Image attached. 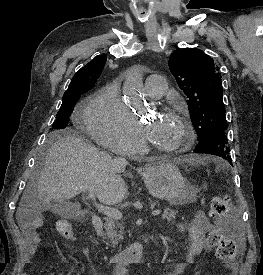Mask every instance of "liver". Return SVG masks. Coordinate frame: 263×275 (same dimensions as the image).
<instances>
[{
  "label": "liver",
  "mask_w": 263,
  "mask_h": 275,
  "mask_svg": "<svg viewBox=\"0 0 263 275\" xmlns=\"http://www.w3.org/2000/svg\"><path fill=\"white\" fill-rule=\"evenodd\" d=\"M177 162L199 161L185 156ZM125 167L123 162L98 151L74 131L59 132L47 150L37 190L27 187L16 219L21 224L28 211L39 212L52 200H68L84 191L94 192L106 205L119 204L128 196V188L120 176Z\"/></svg>",
  "instance_id": "obj_1"
}]
</instances>
